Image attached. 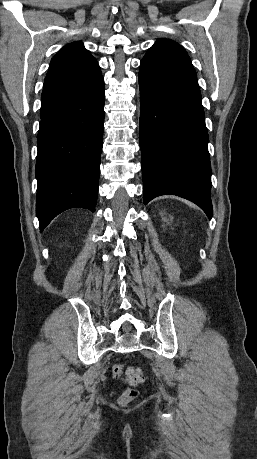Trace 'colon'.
<instances>
[{"instance_id": "colon-1", "label": "colon", "mask_w": 257, "mask_h": 459, "mask_svg": "<svg viewBox=\"0 0 257 459\" xmlns=\"http://www.w3.org/2000/svg\"><path fill=\"white\" fill-rule=\"evenodd\" d=\"M112 374L116 379H125L131 387L124 390L119 398L121 405H127L138 397V390L134 387L143 381V374L137 367H128L125 371L120 364L112 366Z\"/></svg>"}]
</instances>
